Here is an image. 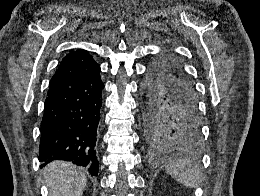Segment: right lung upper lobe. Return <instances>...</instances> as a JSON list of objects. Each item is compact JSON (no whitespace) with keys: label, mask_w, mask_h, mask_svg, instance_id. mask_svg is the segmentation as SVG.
Segmentation results:
<instances>
[{"label":"right lung upper lobe","mask_w":260,"mask_h":196,"mask_svg":"<svg viewBox=\"0 0 260 196\" xmlns=\"http://www.w3.org/2000/svg\"><path fill=\"white\" fill-rule=\"evenodd\" d=\"M98 70H100V66L87 51L78 50L71 52L62 59L49 86L66 80L84 78Z\"/></svg>","instance_id":"cb5924a9"}]
</instances>
